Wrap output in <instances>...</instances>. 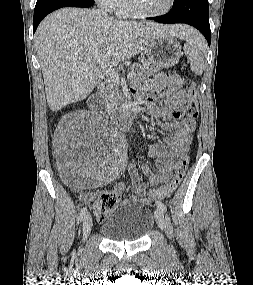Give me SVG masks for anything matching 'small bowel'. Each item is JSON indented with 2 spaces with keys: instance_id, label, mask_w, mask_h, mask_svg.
I'll return each instance as SVG.
<instances>
[{
  "instance_id": "c3829d8e",
  "label": "small bowel",
  "mask_w": 253,
  "mask_h": 285,
  "mask_svg": "<svg viewBox=\"0 0 253 285\" xmlns=\"http://www.w3.org/2000/svg\"><path fill=\"white\" fill-rule=\"evenodd\" d=\"M132 92L147 105V111L151 117L157 120L168 117L172 120L171 123L159 122L164 130L172 133L165 138V145L160 143L148 145L149 154L157 159L155 169L153 170L148 164L142 165V172L149 183L152 186H158L170 179L192 141L191 132L195 129V121L184 118V104L188 94L182 89L179 76L164 74L138 82ZM161 98H166L167 102L164 106H157L156 101ZM60 150L61 153H67L66 145H62ZM127 172L132 184L129 201L149 204L155 198L168 196L167 194L152 195V189L148 191L146 184L140 182L135 164H130ZM125 187L123 182H118L113 190L120 196L125 191Z\"/></svg>"
}]
</instances>
